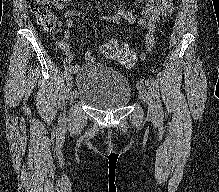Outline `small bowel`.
Here are the masks:
<instances>
[{
	"label": "small bowel",
	"mask_w": 219,
	"mask_h": 192,
	"mask_svg": "<svg viewBox=\"0 0 219 192\" xmlns=\"http://www.w3.org/2000/svg\"><path fill=\"white\" fill-rule=\"evenodd\" d=\"M147 4L142 9L140 17H136L129 12L120 11L114 15H104L103 19L109 22L118 23L121 18H125L130 23L138 22L139 25L144 27L145 34L144 39L146 42L147 50L150 51L154 44V32L155 25L161 17L171 14L174 11V4L172 0H146ZM72 0H52L55 8L62 11V15L67 28H72L75 25V20L86 17L85 14L71 10L68 5ZM70 32L68 30L63 31V39L59 43L60 49L65 53L67 59V65L70 71H75L77 66L71 65V62L75 58V52L70 49L69 41ZM143 58L146 57L145 53H142ZM86 61H92L93 55L91 51H87L85 54Z\"/></svg>",
	"instance_id": "c3829d8e"
}]
</instances>
